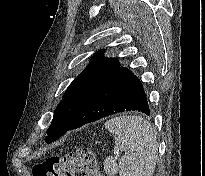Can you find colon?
Wrapping results in <instances>:
<instances>
[{"instance_id": "1", "label": "colon", "mask_w": 205, "mask_h": 176, "mask_svg": "<svg viewBox=\"0 0 205 176\" xmlns=\"http://www.w3.org/2000/svg\"><path fill=\"white\" fill-rule=\"evenodd\" d=\"M33 176H101L99 165L91 150L86 148L63 155H54L32 168Z\"/></svg>"}]
</instances>
